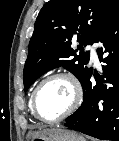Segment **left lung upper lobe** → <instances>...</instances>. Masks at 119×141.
<instances>
[{
	"label": "left lung upper lobe",
	"mask_w": 119,
	"mask_h": 141,
	"mask_svg": "<svg viewBox=\"0 0 119 141\" xmlns=\"http://www.w3.org/2000/svg\"><path fill=\"white\" fill-rule=\"evenodd\" d=\"M119 8V0H50L40 10L24 66V90L45 72L64 67L82 83L89 72V52L76 55L72 39L93 44L99 30Z\"/></svg>",
	"instance_id": "left-lung-upper-lobe-1"
}]
</instances>
